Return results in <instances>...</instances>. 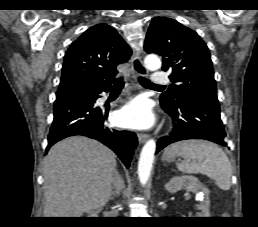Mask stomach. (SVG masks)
Instances as JSON below:
<instances>
[{
    "mask_svg": "<svg viewBox=\"0 0 258 227\" xmlns=\"http://www.w3.org/2000/svg\"><path fill=\"white\" fill-rule=\"evenodd\" d=\"M174 157L172 156H167V155H163L162 160L165 162H170L171 160H173Z\"/></svg>",
    "mask_w": 258,
    "mask_h": 227,
    "instance_id": "obj_1",
    "label": "stomach"
}]
</instances>
